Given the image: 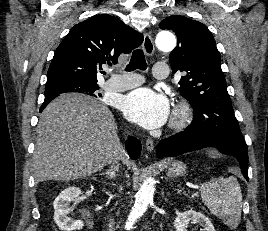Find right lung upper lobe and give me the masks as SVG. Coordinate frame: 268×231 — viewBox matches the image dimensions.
<instances>
[{
  "label": "right lung upper lobe",
  "instance_id": "right-lung-upper-lobe-1",
  "mask_svg": "<svg viewBox=\"0 0 268 231\" xmlns=\"http://www.w3.org/2000/svg\"><path fill=\"white\" fill-rule=\"evenodd\" d=\"M143 36L120 19L103 14L75 25L55 51L46 85L71 81L97 85L103 64L117 63L122 53L140 46ZM52 99H45L41 107Z\"/></svg>",
  "mask_w": 268,
  "mask_h": 231
}]
</instances>
